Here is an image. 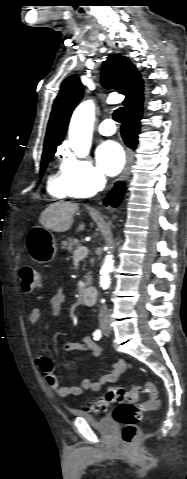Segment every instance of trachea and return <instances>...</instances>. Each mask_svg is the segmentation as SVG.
Listing matches in <instances>:
<instances>
[{"label": "trachea", "mask_w": 187, "mask_h": 479, "mask_svg": "<svg viewBox=\"0 0 187 479\" xmlns=\"http://www.w3.org/2000/svg\"><path fill=\"white\" fill-rule=\"evenodd\" d=\"M123 116H124V108H122V107L117 108L113 112V119L118 123L122 122Z\"/></svg>", "instance_id": "trachea-1"}]
</instances>
